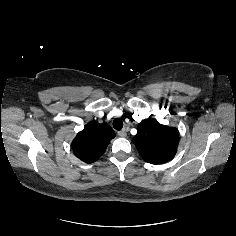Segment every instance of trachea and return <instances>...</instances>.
Listing matches in <instances>:
<instances>
[{
	"mask_svg": "<svg viewBox=\"0 0 236 236\" xmlns=\"http://www.w3.org/2000/svg\"><path fill=\"white\" fill-rule=\"evenodd\" d=\"M113 127H114V129H116V130H121L122 127H123V122H122L120 119L116 118V119L113 121Z\"/></svg>",
	"mask_w": 236,
	"mask_h": 236,
	"instance_id": "obj_1",
	"label": "trachea"
}]
</instances>
